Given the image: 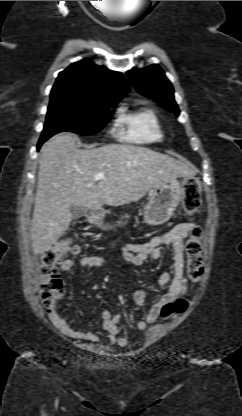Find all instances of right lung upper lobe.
I'll return each instance as SVG.
<instances>
[{
  "instance_id": "right-lung-upper-lobe-1",
  "label": "right lung upper lobe",
  "mask_w": 242,
  "mask_h": 416,
  "mask_svg": "<svg viewBox=\"0 0 242 416\" xmlns=\"http://www.w3.org/2000/svg\"><path fill=\"white\" fill-rule=\"evenodd\" d=\"M130 90L119 72L106 70L89 60L71 64L60 72L51 99L118 102Z\"/></svg>"
}]
</instances>
